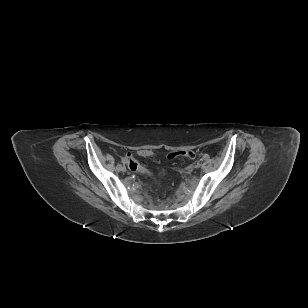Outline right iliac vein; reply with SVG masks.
Wrapping results in <instances>:
<instances>
[{"label": "right iliac vein", "instance_id": "63e3f726", "mask_svg": "<svg viewBox=\"0 0 308 308\" xmlns=\"http://www.w3.org/2000/svg\"><path fill=\"white\" fill-rule=\"evenodd\" d=\"M117 170H118V171L125 172V171H126V168H125L124 166H122V165H118V166H117Z\"/></svg>", "mask_w": 308, "mask_h": 308}]
</instances>
